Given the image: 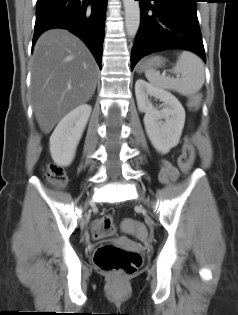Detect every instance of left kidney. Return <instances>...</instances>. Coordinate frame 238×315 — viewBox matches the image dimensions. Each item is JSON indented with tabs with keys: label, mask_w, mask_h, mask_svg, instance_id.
Instances as JSON below:
<instances>
[{
	"label": "left kidney",
	"mask_w": 238,
	"mask_h": 315,
	"mask_svg": "<svg viewBox=\"0 0 238 315\" xmlns=\"http://www.w3.org/2000/svg\"><path fill=\"white\" fill-rule=\"evenodd\" d=\"M135 94L139 111L145 113L143 121L152 145L158 152L168 153L179 143L182 134L185 123L183 106L170 92L159 89L143 79L136 81ZM149 97L162 101V109L154 107Z\"/></svg>",
	"instance_id": "1"
}]
</instances>
